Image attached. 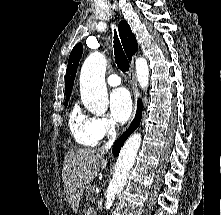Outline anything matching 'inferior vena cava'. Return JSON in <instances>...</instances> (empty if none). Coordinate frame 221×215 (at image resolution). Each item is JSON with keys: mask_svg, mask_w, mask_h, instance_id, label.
I'll list each match as a JSON object with an SVG mask.
<instances>
[{"mask_svg": "<svg viewBox=\"0 0 221 215\" xmlns=\"http://www.w3.org/2000/svg\"><path fill=\"white\" fill-rule=\"evenodd\" d=\"M115 138H116V133L114 131L111 135V139L105 144V146L102 147L103 152H107L112 147Z\"/></svg>", "mask_w": 221, "mask_h": 215, "instance_id": "obj_1", "label": "inferior vena cava"}]
</instances>
